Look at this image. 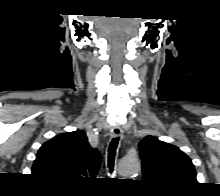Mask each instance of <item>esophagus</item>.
Masks as SVG:
<instances>
[{
  "instance_id": "34e87169",
  "label": "esophagus",
  "mask_w": 220,
  "mask_h": 196,
  "mask_svg": "<svg viewBox=\"0 0 220 196\" xmlns=\"http://www.w3.org/2000/svg\"><path fill=\"white\" fill-rule=\"evenodd\" d=\"M123 135V131L119 126H114L111 129V136L112 137H121Z\"/></svg>"
}]
</instances>
